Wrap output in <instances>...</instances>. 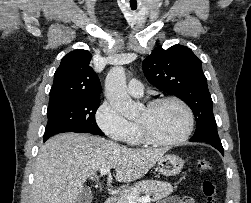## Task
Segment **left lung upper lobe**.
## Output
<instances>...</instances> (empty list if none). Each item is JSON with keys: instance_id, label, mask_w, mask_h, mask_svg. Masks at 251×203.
Wrapping results in <instances>:
<instances>
[{"instance_id": "left-lung-upper-lobe-1", "label": "left lung upper lobe", "mask_w": 251, "mask_h": 203, "mask_svg": "<svg viewBox=\"0 0 251 203\" xmlns=\"http://www.w3.org/2000/svg\"><path fill=\"white\" fill-rule=\"evenodd\" d=\"M147 80L156 88L177 96L193 111L194 142L221 143L213 115V102L199 58L185 46L154 49L142 64Z\"/></svg>"}]
</instances>
